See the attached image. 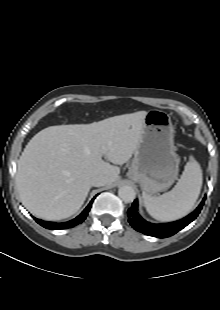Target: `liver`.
Returning <instances> with one entry per match:
<instances>
[{"instance_id":"6515ba94","label":"liver","mask_w":220,"mask_h":310,"mask_svg":"<svg viewBox=\"0 0 220 310\" xmlns=\"http://www.w3.org/2000/svg\"><path fill=\"white\" fill-rule=\"evenodd\" d=\"M146 111L91 124L58 125L38 132L18 161L16 186L34 216L60 220L83 205L95 175L118 178L140 142ZM113 163L111 165L102 157Z\"/></svg>"}]
</instances>
